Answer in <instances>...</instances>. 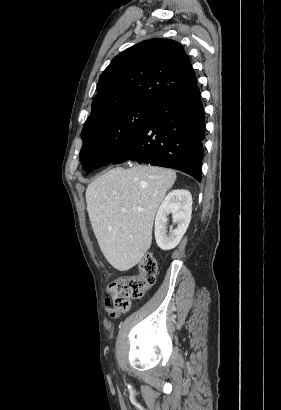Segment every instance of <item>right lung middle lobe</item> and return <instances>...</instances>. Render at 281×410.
Masks as SVG:
<instances>
[{
  "instance_id": "right-lung-middle-lobe-1",
  "label": "right lung middle lobe",
  "mask_w": 281,
  "mask_h": 410,
  "mask_svg": "<svg viewBox=\"0 0 281 410\" xmlns=\"http://www.w3.org/2000/svg\"><path fill=\"white\" fill-rule=\"evenodd\" d=\"M156 107L135 104L108 108L87 119L80 159L89 172L113 162L153 118Z\"/></svg>"
}]
</instances>
